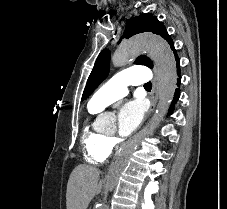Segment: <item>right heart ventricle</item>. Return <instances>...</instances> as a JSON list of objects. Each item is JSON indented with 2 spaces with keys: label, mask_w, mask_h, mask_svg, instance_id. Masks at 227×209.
I'll use <instances>...</instances> for the list:
<instances>
[{
  "label": "right heart ventricle",
  "mask_w": 227,
  "mask_h": 209,
  "mask_svg": "<svg viewBox=\"0 0 227 209\" xmlns=\"http://www.w3.org/2000/svg\"><path fill=\"white\" fill-rule=\"evenodd\" d=\"M99 109L88 106V116L86 117L82 130V145L84 159L93 165L100 166L110 157L113 150V141L106 134L99 132L92 125L93 118Z\"/></svg>",
  "instance_id": "1"
}]
</instances>
